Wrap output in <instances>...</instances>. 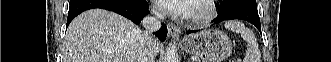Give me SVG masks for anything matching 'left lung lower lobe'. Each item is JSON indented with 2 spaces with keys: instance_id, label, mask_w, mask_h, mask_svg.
<instances>
[{
  "instance_id": "obj_1",
  "label": "left lung lower lobe",
  "mask_w": 331,
  "mask_h": 62,
  "mask_svg": "<svg viewBox=\"0 0 331 62\" xmlns=\"http://www.w3.org/2000/svg\"><path fill=\"white\" fill-rule=\"evenodd\" d=\"M232 19H239L247 21L251 24H253L259 31H261L260 27V19L258 15L257 9H252L247 6L242 5H236L232 6L219 14L217 18H215L212 22L214 24H217L219 22L225 21V20H232ZM198 30H189L186 33H195Z\"/></svg>"
}]
</instances>
